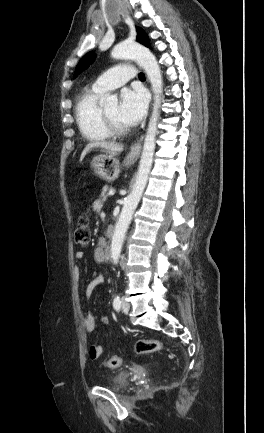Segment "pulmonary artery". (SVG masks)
Masks as SVG:
<instances>
[{
	"instance_id": "pulmonary-artery-1",
	"label": "pulmonary artery",
	"mask_w": 264,
	"mask_h": 433,
	"mask_svg": "<svg viewBox=\"0 0 264 433\" xmlns=\"http://www.w3.org/2000/svg\"><path fill=\"white\" fill-rule=\"evenodd\" d=\"M135 77L136 75L132 65H116L97 78L93 83V88L104 93L124 85L127 81Z\"/></svg>"
}]
</instances>
